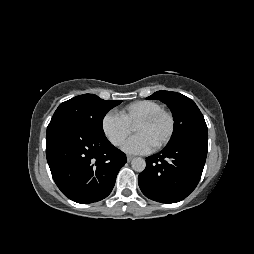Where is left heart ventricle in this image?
Listing matches in <instances>:
<instances>
[{"instance_id": "1", "label": "left heart ventricle", "mask_w": 254, "mask_h": 254, "mask_svg": "<svg viewBox=\"0 0 254 254\" xmlns=\"http://www.w3.org/2000/svg\"><path fill=\"white\" fill-rule=\"evenodd\" d=\"M134 131L136 134L147 137L152 145L156 146L166 137L169 131V120L167 117L161 116L152 123L136 125Z\"/></svg>"}]
</instances>
